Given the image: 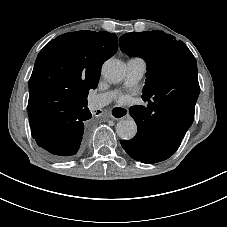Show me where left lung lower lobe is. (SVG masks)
<instances>
[{"instance_id":"obj_1","label":"left lung lower lobe","mask_w":227,"mask_h":227,"mask_svg":"<svg viewBox=\"0 0 227 227\" xmlns=\"http://www.w3.org/2000/svg\"><path fill=\"white\" fill-rule=\"evenodd\" d=\"M200 88L190 86L170 99H150L147 106L130 108L138 127L131 140H120L127 154L143 163H157L173 155L194 119Z\"/></svg>"}]
</instances>
